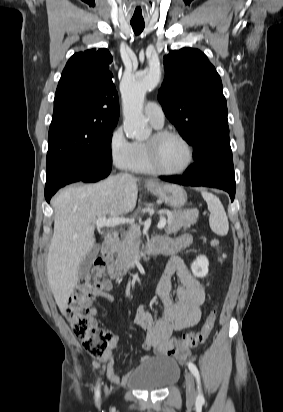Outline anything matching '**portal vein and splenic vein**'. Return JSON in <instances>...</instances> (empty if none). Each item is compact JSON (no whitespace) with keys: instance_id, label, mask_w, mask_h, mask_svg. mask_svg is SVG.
<instances>
[{"instance_id":"obj_1","label":"portal vein and splenic vein","mask_w":283,"mask_h":412,"mask_svg":"<svg viewBox=\"0 0 283 412\" xmlns=\"http://www.w3.org/2000/svg\"><path fill=\"white\" fill-rule=\"evenodd\" d=\"M134 220L129 219V218H124V217H117V218H109L107 219L106 217H101L98 218L95 222V225L97 228H103V227H115L120 224H131L133 225ZM166 225V219L161 218L157 227L158 229L164 228Z\"/></svg>"}]
</instances>
